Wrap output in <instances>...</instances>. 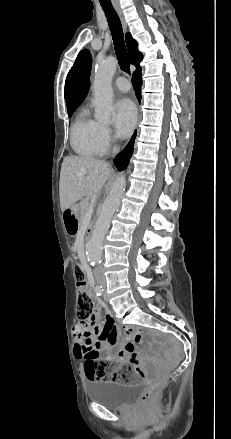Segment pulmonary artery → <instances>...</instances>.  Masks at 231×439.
<instances>
[{"instance_id": "1", "label": "pulmonary artery", "mask_w": 231, "mask_h": 439, "mask_svg": "<svg viewBox=\"0 0 231 439\" xmlns=\"http://www.w3.org/2000/svg\"><path fill=\"white\" fill-rule=\"evenodd\" d=\"M114 84H115V86H116L119 90H121V91H123V92L128 91L129 88H130V85H129L127 79L124 78V77H118V78H116L115 81H114Z\"/></svg>"}]
</instances>
